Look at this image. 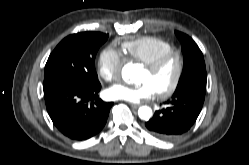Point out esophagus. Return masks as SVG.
I'll use <instances>...</instances> for the list:
<instances>
[{
  "instance_id": "1",
  "label": "esophagus",
  "mask_w": 249,
  "mask_h": 165,
  "mask_svg": "<svg viewBox=\"0 0 249 165\" xmlns=\"http://www.w3.org/2000/svg\"><path fill=\"white\" fill-rule=\"evenodd\" d=\"M132 108H138L140 105L139 104H130Z\"/></svg>"
}]
</instances>
